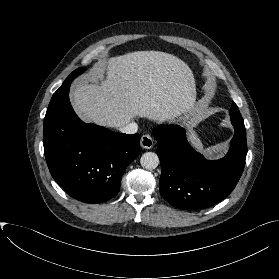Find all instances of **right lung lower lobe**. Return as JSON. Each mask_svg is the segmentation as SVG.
<instances>
[{"instance_id": "98d812e1", "label": "right lung lower lobe", "mask_w": 279, "mask_h": 279, "mask_svg": "<svg viewBox=\"0 0 279 279\" xmlns=\"http://www.w3.org/2000/svg\"><path fill=\"white\" fill-rule=\"evenodd\" d=\"M139 134L82 122L69 97L46 113L43 145L54 180L72 198L97 204L119 192L121 177L140 153Z\"/></svg>"}]
</instances>
